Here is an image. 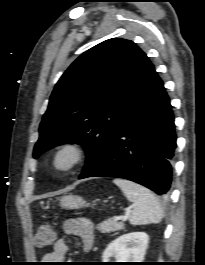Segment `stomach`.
I'll use <instances>...</instances> for the list:
<instances>
[{"label": "stomach", "instance_id": "obj_1", "mask_svg": "<svg viewBox=\"0 0 205 265\" xmlns=\"http://www.w3.org/2000/svg\"><path fill=\"white\" fill-rule=\"evenodd\" d=\"M60 206L65 209H79L88 206V204L82 197L70 194L60 198Z\"/></svg>", "mask_w": 205, "mask_h": 265}]
</instances>
